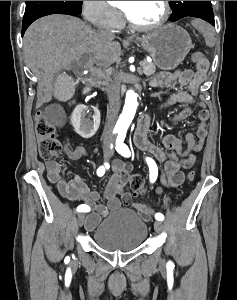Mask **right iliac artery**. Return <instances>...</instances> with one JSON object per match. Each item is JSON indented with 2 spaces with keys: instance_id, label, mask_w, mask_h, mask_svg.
I'll list each match as a JSON object with an SVG mask.
<instances>
[{
  "instance_id": "82829eb1",
  "label": "right iliac artery",
  "mask_w": 237,
  "mask_h": 300,
  "mask_svg": "<svg viewBox=\"0 0 237 300\" xmlns=\"http://www.w3.org/2000/svg\"><path fill=\"white\" fill-rule=\"evenodd\" d=\"M108 169L109 168V164L108 163H105L104 166H100L98 169H97V175L98 176H103L105 174V169ZM77 211L78 212H89L90 211V207L86 204H82V205H79L77 207Z\"/></svg>"
}]
</instances>
